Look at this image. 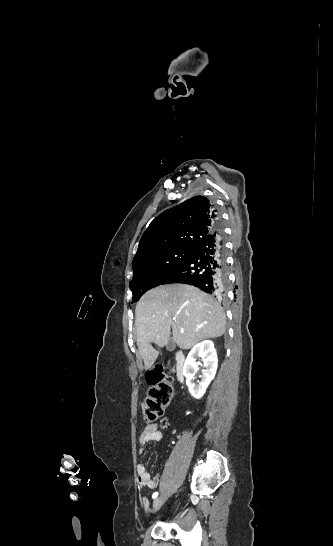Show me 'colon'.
I'll return each instance as SVG.
<instances>
[{"mask_svg":"<svg viewBox=\"0 0 333 546\" xmlns=\"http://www.w3.org/2000/svg\"><path fill=\"white\" fill-rule=\"evenodd\" d=\"M146 378L150 387L142 404V412L146 428H149L163 417L172 400L174 387L172 378L165 373L161 364L149 370Z\"/></svg>","mask_w":333,"mask_h":546,"instance_id":"obj_1","label":"colon"}]
</instances>
